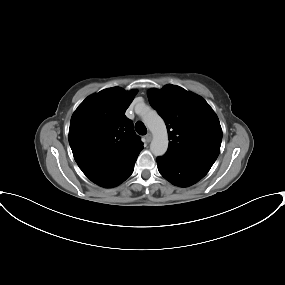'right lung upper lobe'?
I'll return each mask as SVG.
<instances>
[{"label": "right lung upper lobe", "mask_w": 285, "mask_h": 285, "mask_svg": "<svg viewBox=\"0 0 285 285\" xmlns=\"http://www.w3.org/2000/svg\"><path fill=\"white\" fill-rule=\"evenodd\" d=\"M136 94L119 87L88 96L73 113L69 144L83 173L101 184L137 157L143 143L125 111Z\"/></svg>", "instance_id": "obj_1"}]
</instances>
